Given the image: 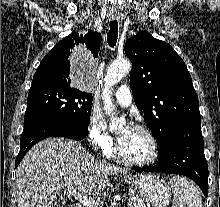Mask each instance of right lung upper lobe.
<instances>
[{
    "label": "right lung upper lobe",
    "mask_w": 220,
    "mask_h": 207,
    "mask_svg": "<svg viewBox=\"0 0 220 207\" xmlns=\"http://www.w3.org/2000/svg\"><path fill=\"white\" fill-rule=\"evenodd\" d=\"M79 44H86L94 57L100 50L101 35L92 30L83 36L73 31L70 35L59 41L53 49L42 59L38 66L31 87L38 85L70 86V61L71 50Z\"/></svg>",
    "instance_id": "obj_1"
}]
</instances>
